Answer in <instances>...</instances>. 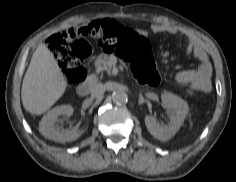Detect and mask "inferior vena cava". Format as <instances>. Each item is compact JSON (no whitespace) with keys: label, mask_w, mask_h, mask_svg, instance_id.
<instances>
[{"label":"inferior vena cava","mask_w":236,"mask_h":182,"mask_svg":"<svg viewBox=\"0 0 236 182\" xmlns=\"http://www.w3.org/2000/svg\"><path fill=\"white\" fill-rule=\"evenodd\" d=\"M105 92V85L102 83H95L91 87V97L92 98H99Z\"/></svg>","instance_id":"obj_1"}]
</instances>
